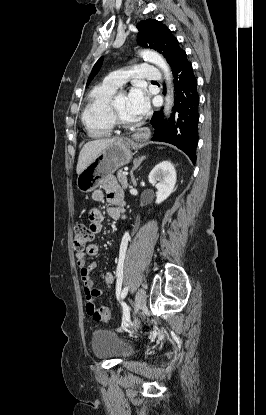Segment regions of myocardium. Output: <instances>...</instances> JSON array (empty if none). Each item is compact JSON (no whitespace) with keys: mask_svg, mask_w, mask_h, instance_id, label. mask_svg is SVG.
<instances>
[{"mask_svg":"<svg viewBox=\"0 0 266 415\" xmlns=\"http://www.w3.org/2000/svg\"><path fill=\"white\" fill-rule=\"evenodd\" d=\"M124 93L125 92L123 90H120L111 97L110 102H109L110 115L115 126L119 128H123V129H132L141 124V119H138L137 121H134V122H127L121 118L115 106V100L117 96L120 94H124Z\"/></svg>","mask_w":266,"mask_h":415,"instance_id":"myocardium-1","label":"myocardium"}]
</instances>
